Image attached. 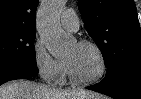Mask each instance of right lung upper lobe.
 Listing matches in <instances>:
<instances>
[{"label": "right lung upper lobe", "mask_w": 141, "mask_h": 99, "mask_svg": "<svg viewBox=\"0 0 141 99\" xmlns=\"http://www.w3.org/2000/svg\"><path fill=\"white\" fill-rule=\"evenodd\" d=\"M38 0H0V27L35 28Z\"/></svg>", "instance_id": "obj_1"}]
</instances>
